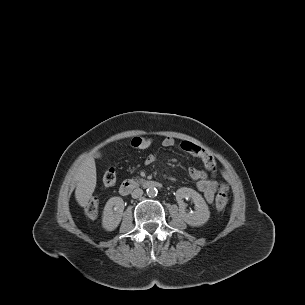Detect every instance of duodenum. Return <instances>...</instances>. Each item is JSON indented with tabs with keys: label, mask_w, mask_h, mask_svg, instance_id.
I'll list each match as a JSON object with an SVG mask.
<instances>
[{
	"label": "duodenum",
	"mask_w": 305,
	"mask_h": 305,
	"mask_svg": "<svg viewBox=\"0 0 305 305\" xmlns=\"http://www.w3.org/2000/svg\"><path fill=\"white\" fill-rule=\"evenodd\" d=\"M148 188H161L162 183L159 181L147 180L143 183ZM136 187V182L132 180L124 181L119 187V193L123 196L129 195Z\"/></svg>",
	"instance_id": "obj_1"
}]
</instances>
